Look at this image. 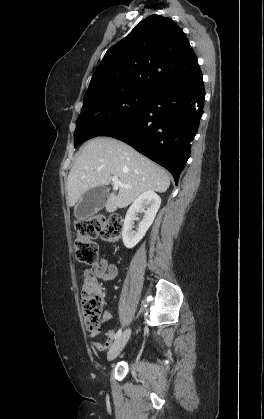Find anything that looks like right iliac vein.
Wrapping results in <instances>:
<instances>
[{"label": "right iliac vein", "mask_w": 264, "mask_h": 419, "mask_svg": "<svg viewBox=\"0 0 264 419\" xmlns=\"http://www.w3.org/2000/svg\"><path fill=\"white\" fill-rule=\"evenodd\" d=\"M130 334H131V330L126 329L123 332V334L114 342V344L111 346L107 355V359L109 361L114 360L120 354V352L123 350L124 346L126 345L130 337Z\"/></svg>", "instance_id": "1"}]
</instances>
